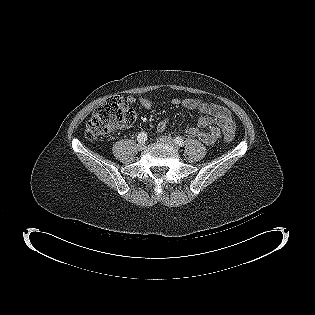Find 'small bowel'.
Listing matches in <instances>:
<instances>
[{
	"mask_svg": "<svg viewBox=\"0 0 315 315\" xmlns=\"http://www.w3.org/2000/svg\"><path fill=\"white\" fill-rule=\"evenodd\" d=\"M129 103H134L135 98L129 97ZM141 107L150 109L152 101L148 97L139 99ZM170 103L174 106H183L189 110H196L201 114L197 126H191L185 129V133L200 139L206 144L216 142L222 133H229L233 136L235 132V123L231 112L216 103L209 102L200 98H173ZM168 125V120L164 119L159 122L158 129L164 130Z\"/></svg>",
	"mask_w": 315,
	"mask_h": 315,
	"instance_id": "small-bowel-1",
	"label": "small bowel"
}]
</instances>
